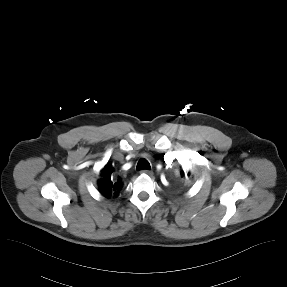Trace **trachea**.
<instances>
[{
    "mask_svg": "<svg viewBox=\"0 0 287 287\" xmlns=\"http://www.w3.org/2000/svg\"><path fill=\"white\" fill-rule=\"evenodd\" d=\"M143 169H147V170L151 169V166L146 159H140L137 164V170H143Z\"/></svg>",
    "mask_w": 287,
    "mask_h": 287,
    "instance_id": "1",
    "label": "trachea"
}]
</instances>
